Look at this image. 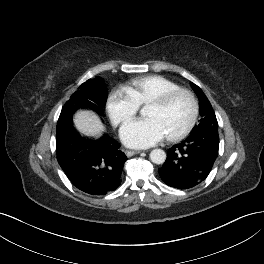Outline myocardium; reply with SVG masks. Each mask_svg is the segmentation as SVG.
<instances>
[{
  "mask_svg": "<svg viewBox=\"0 0 264 264\" xmlns=\"http://www.w3.org/2000/svg\"><path fill=\"white\" fill-rule=\"evenodd\" d=\"M179 96H185L190 102L191 113L187 123L177 132L171 133L167 135V139L170 141H178L188 135L193 127L195 126L198 115H199V104L195 97V95L186 88H176L171 91H168L161 96L151 100L147 105H152L156 107H166L169 105L174 99Z\"/></svg>",
  "mask_w": 264,
  "mask_h": 264,
  "instance_id": "obj_1",
  "label": "myocardium"
}]
</instances>
